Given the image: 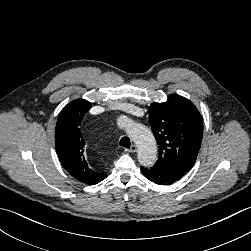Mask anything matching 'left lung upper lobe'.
I'll return each instance as SVG.
<instances>
[{
  "mask_svg": "<svg viewBox=\"0 0 251 251\" xmlns=\"http://www.w3.org/2000/svg\"><path fill=\"white\" fill-rule=\"evenodd\" d=\"M149 121L159 145L154 166L186 173L195 163L203 137V120L188 99L172 94L165 103L148 107Z\"/></svg>",
  "mask_w": 251,
  "mask_h": 251,
  "instance_id": "1",
  "label": "left lung upper lobe"
}]
</instances>
